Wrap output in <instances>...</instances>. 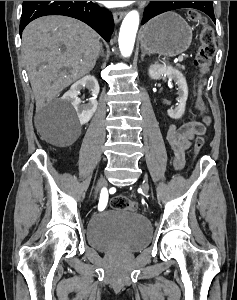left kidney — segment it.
Segmentation results:
<instances>
[{
	"instance_id": "1",
	"label": "left kidney",
	"mask_w": 237,
	"mask_h": 300,
	"mask_svg": "<svg viewBox=\"0 0 237 300\" xmlns=\"http://www.w3.org/2000/svg\"><path fill=\"white\" fill-rule=\"evenodd\" d=\"M151 79H160L161 75H167L168 79H173L178 85V107L176 109H168L167 113L171 119H181L185 113L186 101L188 99V87L186 79L180 71L167 67V65H151L149 69Z\"/></svg>"
}]
</instances>
